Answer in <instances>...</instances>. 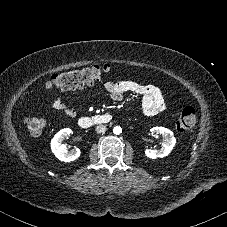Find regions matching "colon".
<instances>
[{"label": "colon", "mask_w": 227, "mask_h": 227, "mask_svg": "<svg viewBox=\"0 0 227 227\" xmlns=\"http://www.w3.org/2000/svg\"><path fill=\"white\" fill-rule=\"evenodd\" d=\"M113 68L109 65L88 66L56 74L53 77L55 87L62 91H76L99 81ZM26 130L32 135H39L46 126V120L41 116H29L24 119ZM196 123V111L192 106L185 107L179 114L176 127L180 132L190 131Z\"/></svg>", "instance_id": "obj_1"}]
</instances>
